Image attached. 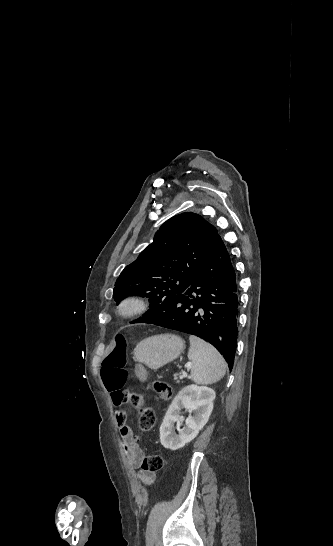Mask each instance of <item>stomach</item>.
Instances as JSON below:
<instances>
[{"label": "stomach", "mask_w": 333, "mask_h": 546, "mask_svg": "<svg viewBox=\"0 0 333 546\" xmlns=\"http://www.w3.org/2000/svg\"><path fill=\"white\" fill-rule=\"evenodd\" d=\"M185 342L174 334H161L145 338L134 349V359L144 361L150 369L157 370L175 360L183 351Z\"/></svg>", "instance_id": "obj_1"}]
</instances>
